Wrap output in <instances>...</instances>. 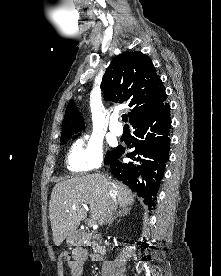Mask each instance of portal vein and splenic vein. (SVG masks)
Returning <instances> with one entry per match:
<instances>
[{
    "mask_svg": "<svg viewBox=\"0 0 221 276\" xmlns=\"http://www.w3.org/2000/svg\"><path fill=\"white\" fill-rule=\"evenodd\" d=\"M83 206L85 207L86 205L83 204ZM94 223H95L94 221H91V220H90L89 223H88V225H89V226H94Z\"/></svg>",
    "mask_w": 221,
    "mask_h": 276,
    "instance_id": "18ae733b",
    "label": "portal vein and splenic vein"
}]
</instances>
